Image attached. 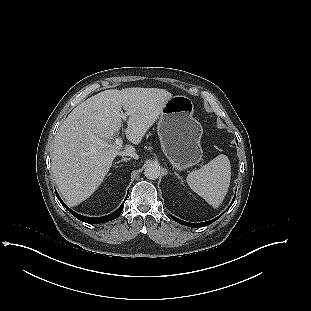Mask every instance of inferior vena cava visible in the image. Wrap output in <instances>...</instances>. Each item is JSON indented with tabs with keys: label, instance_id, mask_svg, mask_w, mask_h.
Segmentation results:
<instances>
[{
	"label": "inferior vena cava",
	"instance_id": "inferior-vena-cava-1",
	"mask_svg": "<svg viewBox=\"0 0 311 311\" xmlns=\"http://www.w3.org/2000/svg\"><path fill=\"white\" fill-rule=\"evenodd\" d=\"M121 155L122 156H130L133 159H138L139 158L138 154L135 151L123 152Z\"/></svg>",
	"mask_w": 311,
	"mask_h": 311
}]
</instances>
